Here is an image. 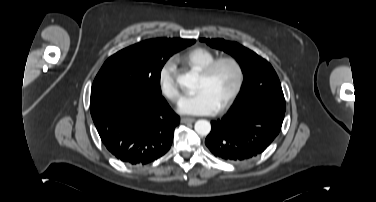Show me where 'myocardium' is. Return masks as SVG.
Masks as SVG:
<instances>
[{"label": "myocardium", "mask_w": 376, "mask_h": 202, "mask_svg": "<svg viewBox=\"0 0 376 202\" xmlns=\"http://www.w3.org/2000/svg\"><path fill=\"white\" fill-rule=\"evenodd\" d=\"M225 63L230 64L234 68L236 73V82L225 102L219 107V111L228 109L236 100L237 96L240 94L243 88L245 82V71L241 62L233 56H223L214 59L199 72L202 77L210 78L215 73L217 68Z\"/></svg>", "instance_id": "1"}]
</instances>
